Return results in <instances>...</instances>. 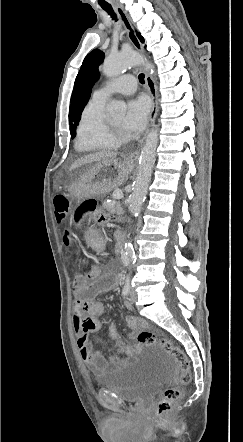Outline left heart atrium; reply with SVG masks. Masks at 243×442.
<instances>
[{
	"mask_svg": "<svg viewBox=\"0 0 243 442\" xmlns=\"http://www.w3.org/2000/svg\"><path fill=\"white\" fill-rule=\"evenodd\" d=\"M149 109V102L144 96L130 100L127 105L123 128L132 133L141 131L147 122Z\"/></svg>",
	"mask_w": 243,
	"mask_h": 442,
	"instance_id": "obj_1",
	"label": "left heart atrium"
}]
</instances>
